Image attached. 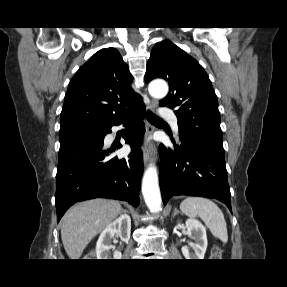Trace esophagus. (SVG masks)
I'll return each mask as SVG.
<instances>
[{"label":"esophagus","instance_id":"esophagus-1","mask_svg":"<svg viewBox=\"0 0 287 287\" xmlns=\"http://www.w3.org/2000/svg\"><path fill=\"white\" fill-rule=\"evenodd\" d=\"M157 106H158L157 101L152 100L148 105V109L151 111H155ZM153 132H154V127L148 121H146V132H145L146 139L149 136H151ZM152 153H153L152 142L146 141L143 147V160L145 164H147L150 161L152 157Z\"/></svg>","mask_w":287,"mask_h":287}]
</instances>
